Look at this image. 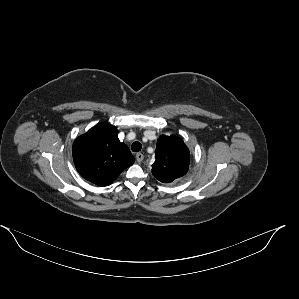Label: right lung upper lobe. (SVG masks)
<instances>
[{"instance_id":"obj_1","label":"right lung upper lobe","mask_w":299,"mask_h":299,"mask_svg":"<svg viewBox=\"0 0 299 299\" xmlns=\"http://www.w3.org/2000/svg\"><path fill=\"white\" fill-rule=\"evenodd\" d=\"M117 133L116 127L99 124L75 140L74 164L86 180L108 186L134 163L133 155L127 145L120 142Z\"/></svg>"}]
</instances>
